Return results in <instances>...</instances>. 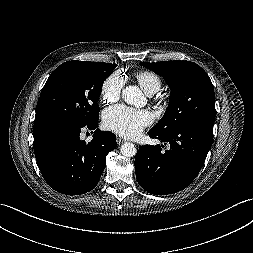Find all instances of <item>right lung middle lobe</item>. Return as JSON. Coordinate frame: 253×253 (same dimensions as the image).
Returning <instances> with one entry per match:
<instances>
[{
	"instance_id": "1",
	"label": "right lung middle lobe",
	"mask_w": 253,
	"mask_h": 253,
	"mask_svg": "<svg viewBox=\"0 0 253 253\" xmlns=\"http://www.w3.org/2000/svg\"><path fill=\"white\" fill-rule=\"evenodd\" d=\"M116 64L69 61L49 76L39 97L34 124L58 119L87 125L99 119L102 84Z\"/></svg>"
}]
</instances>
